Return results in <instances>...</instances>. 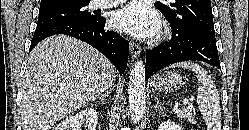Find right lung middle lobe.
Returning <instances> with one entry per match:
<instances>
[{
  "mask_svg": "<svg viewBox=\"0 0 249 130\" xmlns=\"http://www.w3.org/2000/svg\"><path fill=\"white\" fill-rule=\"evenodd\" d=\"M89 2L83 1L67 7L40 8L37 28L52 24L93 21L96 16L85 9Z\"/></svg>",
  "mask_w": 249,
  "mask_h": 130,
  "instance_id": "right-lung-middle-lobe-1",
  "label": "right lung middle lobe"
}]
</instances>
